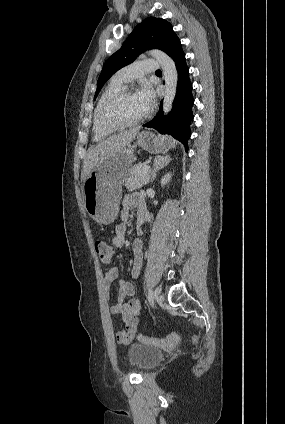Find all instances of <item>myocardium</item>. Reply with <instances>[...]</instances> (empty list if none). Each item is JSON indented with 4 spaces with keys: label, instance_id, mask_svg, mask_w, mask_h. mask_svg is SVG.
Here are the masks:
<instances>
[{
    "label": "myocardium",
    "instance_id": "1",
    "mask_svg": "<svg viewBox=\"0 0 285 424\" xmlns=\"http://www.w3.org/2000/svg\"><path fill=\"white\" fill-rule=\"evenodd\" d=\"M134 93H135L134 90L131 88H123L122 90L117 92L115 95H113L105 103L99 116V123L103 128L113 129V130L131 128L142 123L144 120L147 119L148 113H145L143 116L139 117L138 119H135L129 122L117 120L112 117V111L118 105V103L121 100H123L126 96L130 94H134Z\"/></svg>",
    "mask_w": 285,
    "mask_h": 424
}]
</instances>
